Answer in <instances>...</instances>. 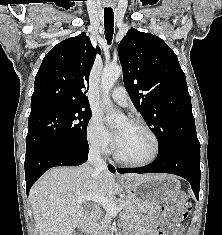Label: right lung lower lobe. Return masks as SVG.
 <instances>
[{
	"mask_svg": "<svg viewBox=\"0 0 222 235\" xmlns=\"http://www.w3.org/2000/svg\"><path fill=\"white\" fill-rule=\"evenodd\" d=\"M88 149H76L70 147H55L41 150L29 158H25L26 192L48 169L54 166L81 165L87 161ZM114 173L115 169L109 166Z\"/></svg>",
	"mask_w": 222,
	"mask_h": 235,
	"instance_id": "obj_1",
	"label": "right lung lower lobe"
}]
</instances>
